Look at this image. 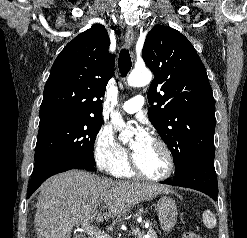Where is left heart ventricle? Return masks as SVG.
Listing matches in <instances>:
<instances>
[{"mask_svg": "<svg viewBox=\"0 0 247 238\" xmlns=\"http://www.w3.org/2000/svg\"><path fill=\"white\" fill-rule=\"evenodd\" d=\"M137 165L147 175L160 176L167 169V160L162 149L152 140L133 152Z\"/></svg>", "mask_w": 247, "mask_h": 238, "instance_id": "left-heart-ventricle-1", "label": "left heart ventricle"}]
</instances>
